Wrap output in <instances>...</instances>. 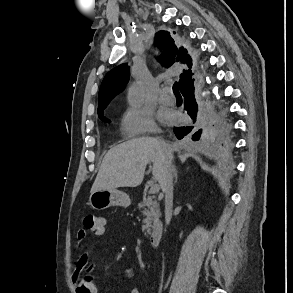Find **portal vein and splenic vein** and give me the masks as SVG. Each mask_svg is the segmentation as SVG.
Listing matches in <instances>:
<instances>
[{"label": "portal vein and splenic vein", "mask_w": 293, "mask_h": 293, "mask_svg": "<svg viewBox=\"0 0 293 293\" xmlns=\"http://www.w3.org/2000/svg\"><path fill=\"white\" fill-rule=\"evenodd\" d=\"M160 190V187L158 184H153L151 187H150V193L151 194H156L158 193Z\"/></svg>", "instance_id": "obj_1"}]
</instances>
